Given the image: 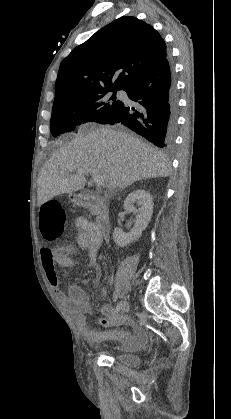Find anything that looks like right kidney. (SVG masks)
Instances as JSON below:
<instances>
[{"label": "right kidney", "mask_w": 231, "mask_h": 419, "mask_svg": "<svg viewBox=\"0 0 231 419\" xmlns=\"http://www.w3.org/2000/svg\"><path fill=\"white\" fill-rule=\"evenodd\" d=\"M135 203H137L139 209L134 207ZM153 205L151 194L144 189L134 190L126 197L123 204L124 209L127 212L136 214V220L134 227L129 233L123 232L120 228L114 229L113 240L118 246H127L142 235V232L147 228L151 220Z\"/></svg>", "instance_id": "ca27d5eb"}]
</instances>
